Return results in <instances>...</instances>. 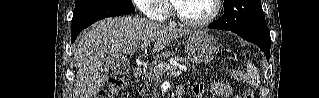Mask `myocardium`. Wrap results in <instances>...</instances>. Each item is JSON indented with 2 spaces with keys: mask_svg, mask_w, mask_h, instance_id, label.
I'll use <instances>...</instances> for the list:
<instances>
[{
  "mask_svg": "<svg viewBox=\"0 0 319 98\" xmlns=\"http://www.w3.org/2000/svg\"><path fill=\"white\" fill-rule=\"evenodd\" d=\"M212 2H213L212 13L208 17L201 19V20H190V19H187L184 16H182L174 1H171L172 14L181 24H183L187 27H190V28L205 27V26L211 24L212 22H214L215 19L218 17V15L221 12L222 1L221 0H212Z\"/></svg>",
  "mask_w": 319,
  "mask_h": 98,
  "instance_id": "obj_1",
  "label": "myocardium"
}]
</instances>
